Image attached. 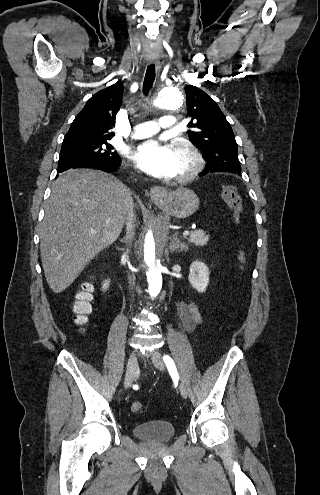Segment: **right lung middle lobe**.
I'll return each mask as SVG.
<instances>
[{
	"label": "right lung middle lobe",
	"instance_id": "1",
	"mask_svg": "<svg viewBox=\"0 0 320 495\" xmlns=\"http://www.w3.org/2000/svg\"><path fill=\"white\" fill-rule=\"evenodd\" d=\"M110 139L63 140L58 168L81 162H114L120 156L113 152Z\"/></svg>",
	"mask_w": 320,
	"mask_h": 495
}]
</instances>
